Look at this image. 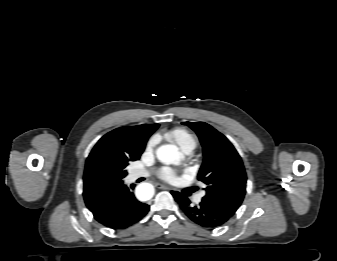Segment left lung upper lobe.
<instances>
[{
	"label": "left lung upper lobe",
	"mask_w": 337,
	"mask_h": 261,
	"mask_svg": "<svg viewBox=\"0 0 337 261\" xmlns=\"http://www.w3.org/2000/svg\"><path fill=\"white\" fill-rule=\"evenodd\" d=\"M193 129L202 144L204 161L198 180L206 184L202 202L209 203L232 217L241 205L246 192V173L231 142L204 122H183Z\"/></svg>",
	"instance_id": "obj_1"
}]
</instances>
